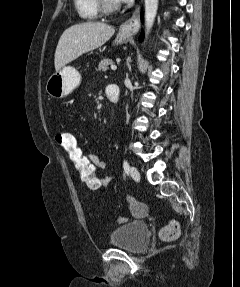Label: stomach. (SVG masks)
Wrapping results in <instances>:
<instances>
[{"label":"stomach","instance_id":"stomach-1","mask_svg":"<svg viewBox=\"0 0 240 287\" xmlns=\"http://www.w3.org/2000/svg\"><path fill=\"white\" fill-rule=\"evenodd\" d=\"M129 34L119 32L115 43H127ZM81 82V75L77 69L71 66L64 67L62 70L52 74L46 84L47 93L56 99L69 95Z\"/></svg>","mask_w":240,"mask_h":287}]
</instances>
